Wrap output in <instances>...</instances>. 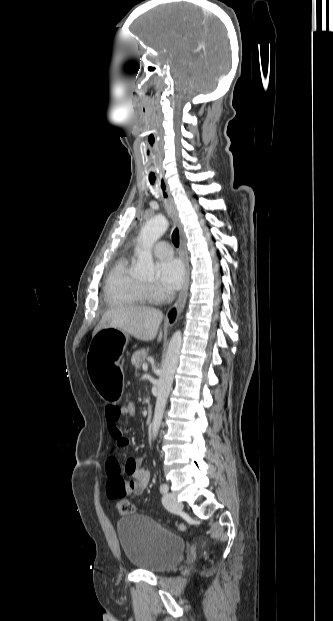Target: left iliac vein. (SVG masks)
<instances>
[{
	"instance_id": "1",
	"label": "left iliac vein",
	"mask_w": 333,
	"mask_h": 621,
	"mask_svg": "<svg viewBox=\"0 0 333 621\" xmlns=\"http://www.w3.org/2000/svg\"><path fill=\"white\" fill-rule=\"evenodd\" d=\"M163 504L170 511H178L183 507L182 503L178 502L177 497L170 492L164 495Z\"/></svg>"
}]
</instances>
